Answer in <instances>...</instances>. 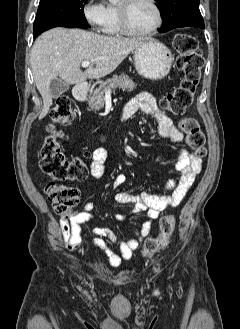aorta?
Returning <instances> with one entry per match:
<instances>
[{"label": "aorta", "instance_id": "1", "mask_svg": "<svg viewBox=\"0 0 240 329\" xmlns=\"http://www.w3.org/2000/svg\"><path fill=\"white\" fill-rule=\"evenodd\" d=\"M111 3L115 4L117 2H119V0H109Z\"/></svg>", "mask_w": 240, "mask_h": 329}]
</instances>
